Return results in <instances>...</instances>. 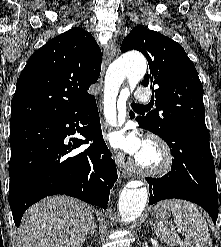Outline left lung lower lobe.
<instances>
[{"mask_svg":"<svg viewBox=\"0 0 221 247\" xmlns=\"http://www.w3.org/2000/svg\"><path fill=\"white\" fill-rule=\"evenodd\" d=\"M130 117H135L133 112ZM136 120L140 127L149 130L140 117ZM163 140L169 145L174 159L167 175L146 178L150 187L149 204L170 198L191 201L203 207L216 224L218 193L208 130L185 132L175 128L172 137Z\"/></svg>","mask_w":221,"mask_h":247,"instance_id":"0a47b994","label":"left lung lower lobe"}]
</instances>
